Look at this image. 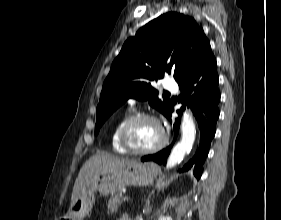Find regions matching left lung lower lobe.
I'll return each mask as SVG.
<instances>
[{
	"mask_svg": "<svg viewBox=\"0 0 281 220\" xmlns=\"http://www.w3.org/2000/svg\"><path fill=\"white\" fill-rule=\"evenodd\" d=\"M216 59L211 51V47L203 53L195 56L190 63V67L177 83L181 90L182 108L177 111L181 116L182 111L190 107L198 121L200 128V143L194 157L184 165L182 171L193 170L194 176L199 179L202 174L204 161L208 155L212 138L215 135L216 122L219 117L218 104L220 92L218 89V74L216 70ZM173 107L168 113L167 118L172 122L171 115ZM180 118L175 120L174 141L179 132ZM171 146L160 151L155 155L143 157L142 161H156L161 164L166 162Z\"/></svg>",
	"mask_w": 281,
	"mask_h": 220,
	"instance_id": "1",
	"label": "left lung lower lobe"
}]
</instances>
